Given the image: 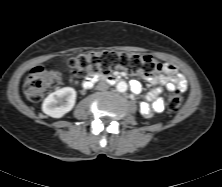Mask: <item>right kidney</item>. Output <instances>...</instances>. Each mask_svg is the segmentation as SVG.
I'll list each match as a JSON object with an SVG mask.
<instances>
[{
    "label": "right kidney",
    "instance_id": "1",
    "mask_svg": "<svg viewBox=\"0 0 222 187\" xmlns=\"http://www.w3.org/2000/svg\"><path fill=\"white\" fill-rule=\"evenodd\" d=\"M75 102L76 91L71 87H64L44 99L42 111L53 118H61L72 110Z\"/></svg>",
    "mask_w": 222,
    "mask_h": 187
}]
</instances>
